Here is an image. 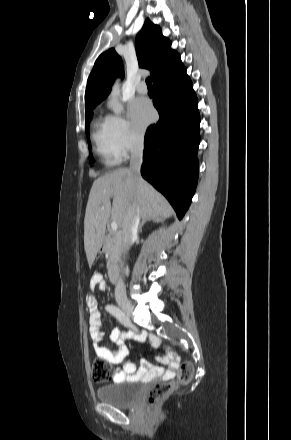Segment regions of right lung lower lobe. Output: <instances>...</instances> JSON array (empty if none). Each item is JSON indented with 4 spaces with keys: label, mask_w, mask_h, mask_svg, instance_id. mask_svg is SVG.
Segmentation results:
<instances>
[{
    "label": "right lung lower lobe",
    "mask_w": 291,
    "mask_h": 440,
    "mask_svg": "<svg viewBox=\"0 0 291 440\" xmlns=\"http://www.w3.org/2000/svg\"><path fill=\"white\" fill-rule=\"evenodd\" d=\"M154 90L160 118L147 129L141 174L182 219L198 181V101L184 66L158 79Z\"/></svg>",
    "instance_id": "98d812e1"
}]
</instances>
